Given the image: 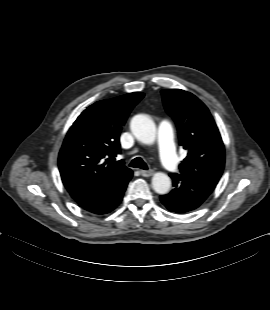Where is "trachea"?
Masks as SVG:
<instances>
[{
    "instance_id": "trachea-1",
    "label": "trachea",
    "mask_w": 270,
    "mask_h": 310,
    "mask_svg": "<svg viewBox=\"0 0 270 310\" xmlns=\"http://www.w3.org/2000/svg\"><path fill=\"white\" fill-rule=\"evenodd\" d=\"M130 167H133V168H140V169H144V170H147L148 169V166L147 164L142 160V158L140 157H137L135 159H133L131 161V163L129 164Z\"/></svg>"
}]
</instances>
